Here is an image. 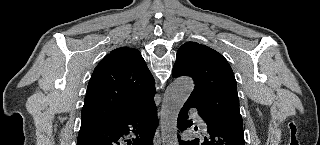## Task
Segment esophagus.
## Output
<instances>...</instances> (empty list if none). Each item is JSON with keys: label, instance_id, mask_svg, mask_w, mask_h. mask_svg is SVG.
<instances>
[{"label": "esophagus", "instance_id": "esophagus-1", "mask_svg": "<svg viewBox=\"0 0 320 145\" xmlns=\"http://www.w3.org/2000/svg\"><path fill=\"white\" fill-rule=\"evenodd\" d=\"M161 144V137H160V130L158 129L155 136H154V145Z\"/></svg>", "mask_w": 320, "mask_h": 145}]
</instances>
